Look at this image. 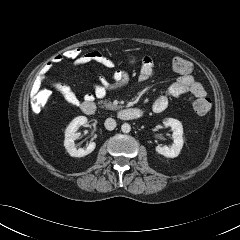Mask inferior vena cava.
Masks as SVG:
<instances>
[{
    "label": "inferior vena cava",
    "instance_id": "inferior-vena-cava-1",
    "mask_svg": "<svg viewBox=\"0 0 240 240\" xmlns=\"http://www.w3.org/2000/svg\"><path fill=\"white\" fill-rule=\"evenodd\" d=\"M104 126L107 130H114L116 127V121L112 118H107L105 120Z\"/></svg>",
    "mask_w": 240,
    "mask_h": 240
}]
</instances>
